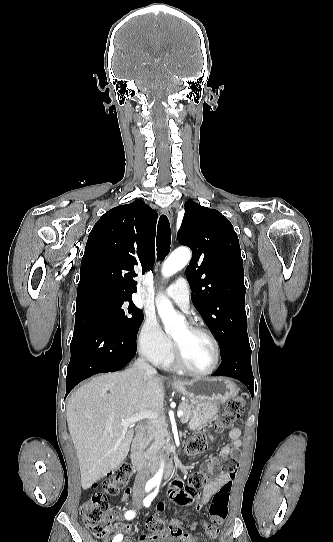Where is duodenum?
<instances>
[{
  "mask_svg": "<svg viewBox=\"0 0 333 542\" xmlns=\"http://www.w3.org/2000/svg\"><path fill=\"white\" fill-rule=\"evenodd\" d=\"M142 447L143 438L141 434H138L132 443L130 452V460L133 468L141 473H145L147 471L156 472L161 468L160 463L148 460L143 455ZM162 470L165 477H170L173 473L174 467L171 463H165L162 466Z\"/></svg>",
  "mask_w": 333,
  "mask_h": 542,
  "instance_id": "1",
  "label": "duodenum"
}]
</instances>
